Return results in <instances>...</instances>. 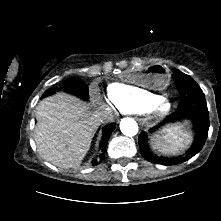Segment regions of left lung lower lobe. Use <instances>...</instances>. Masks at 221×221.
I'll return each instance as SVG.
<instances>
[{"instance_id":"1","label":"left lung lower lobe","mask_w":221,"mask_h":221,"mask_svg":"<svg viewBox=\"0 0 221 221\" xmlns=\"http://www.w3.org/2000/svg\"><path fill=\"white\" fill-rule=\"evenodd\" d=\"M186 119L191 121L195 137L193 144L187 150L185 155L175 158H168L153 154L148 148V137L146 133L142 132L138 138L139 148L142 156L152 163L175 165L183 163L196 155L205 144L210 126L209 112L205 100V95L203 93L183 97L178 105L177 111L166 118L163 123L150 129L149 131L152 133L167 123L179 122Z\"/></svg>"}]
</instances>
